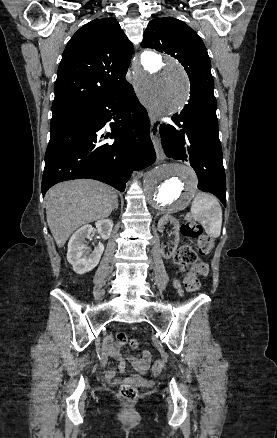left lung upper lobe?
I'll return each mask as SVG.
<instances>
[{"mask_svg":"<svg viewBox=\"0 0 277 438\" xmlns=\"http://www.w3.org/2000/svg\"><path fill=\"white\" fill-rule=\"evenodd\" d=\"M141 46L170 54L184 66L191 84L190 98H215L207 50L199 35L186 23L173 17L151 20Z\"/></svg>","mask_w":277,"mask_h":438,"instance_id":"1","label":"left lung upper lobe"}]
</instances>
